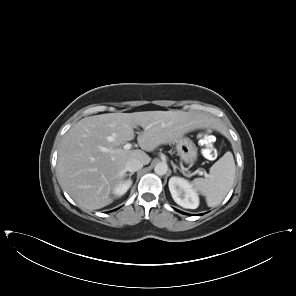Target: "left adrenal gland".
Listing matches in <instances>:
<instances>
[{"label":"left adrenal gland","instance_id":"left-adrenal-gland-1","mask_svg":"<svg viewBox=\"0 0 296 296\" xmlns=\"http://www.w3.org/2000/svg\"><path fill=\"white\" fill-rule=\"evenodd\" d=\"M173 166V171L176 173V169H178L180 172H183L178 166H176L173 162L171 163Z\"/></svg>","mask_w":296,"mask_h":296}]
</instances>
